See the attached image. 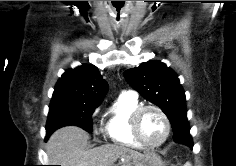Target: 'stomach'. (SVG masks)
<instances>
[{"instance_id":"stomach-1","label":"stomach","mask_w":236,"mask_h":166,"mask_svg":"<svg viewBox=\"0 0 236 166\" xmlns=\"http://www.w3.org/2000/svg\"><path fill=\"white\" fill-rule=\"evenodd\" d=\"M123 166H136L129 162H123ZM138 166H165L161 158L155 153L145 154V157L141 160V164Z\"/></svg>"}]
</instances>
